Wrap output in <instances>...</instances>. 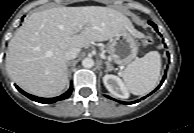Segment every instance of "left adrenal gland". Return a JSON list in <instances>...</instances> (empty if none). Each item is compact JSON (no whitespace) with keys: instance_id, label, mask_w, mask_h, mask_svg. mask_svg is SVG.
Wrapping results in <instances>:
<instances>
[{"instance_id":"a2214340","label":"left adrenal gland","mask_w":194,"mask_h":133,"mask_svg":"<svg viewBox=\"0 0 194 133\" xmlns=\"http://www.w3.org/2000/svg\"><path fill=\"white\" fill-rule=\"evenodd\" d=\"M114 68L111 66V64L110 63H108V62H106V70H105V72H109V71H111V70H113Z\"/></svg>"}]
</instances>
